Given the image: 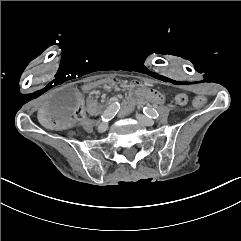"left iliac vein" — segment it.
I'll return each instance as SVG.
<instances>
[{
    "mask_svg": "<svg viewBox=\"0 0 241 241\" xmlns=\"http://www.w3.org/2000/svg\"><path fill=\"white\" fill-rule=\"evenodd\" d=\"M136 119H138L145 126H153L155 121L141 114H136Z\"/></svg>",
    "mask_w": 241,
    "mask_h": 241,
    "instance_id": "obj_1",
    "label": "left iliac vein"
}]
</instances>
